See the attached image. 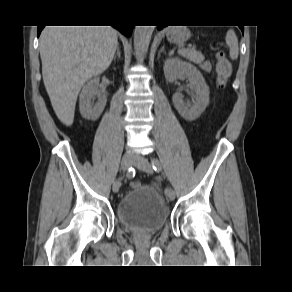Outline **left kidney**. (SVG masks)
I'll return each mask as SVG.
<instances>
[{
	"label": "left kidney",
	"mask_w": 292,
	"mask_h": 292,
	"mask_svg": "<svg viewBox=\"0 0 292 292\" xmlns=\"http://www.w3.org/2000/svg\"><path fill=\"white\" fill-rule=\"evenodd\" d=\"M164 75L167 81L174 82L180 76L189 80V87L195 94L193 103H186L183 95L175 93L172 97L178 113L187 121L197 119L209 104V87L200 71L191 63L180 58H168L164 63Z\"/></svg>",
	"instance_id": "1"
}]
</instances>
